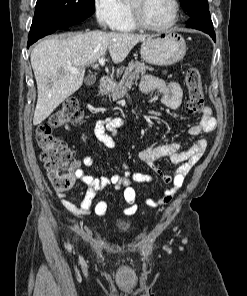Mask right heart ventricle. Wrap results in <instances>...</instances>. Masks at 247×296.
<instances>
[{
    "instance_id": "1",
    "label": "right heart ventricle",
    "mask_w": 247,
    "mask_h": 296,
    "mask_svg": "<svg viewBox=\"0 0 247 296\" xmlns=\"http://www.w3.org/2000/svg\"><path fill=\"white\" fill-rule=\"evenodd\" d=\"M121 6L123 9V15L115 29L122 32L134 31L136 29V25L132 21L128 3L125 0H122Z\"/></svg>"
}]
</instances>
